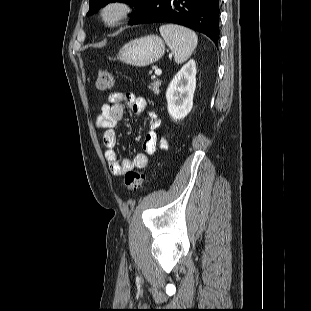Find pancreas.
I'll use <instances>...</instances> for the list:
<instances>
[{
    "label": "pancreas",
    "mask_w": 311,
    "mask_h": 311,
    "mask_svg": "<svg viewBox=\"0 0 311 311\" xmlns=\"http://www.w3.org/2000/svg\"><path fill=\"white\" fill-rule=\"evenodd\" d=\"M162 81L161 80H153L150 86V89L155 93L159 94L160 90L159 87L161 85Z\"/></svg>",
    "instance_id": "obj_1"
}]
</instances>
